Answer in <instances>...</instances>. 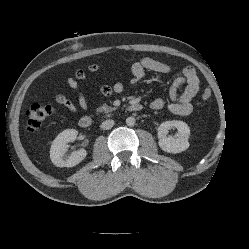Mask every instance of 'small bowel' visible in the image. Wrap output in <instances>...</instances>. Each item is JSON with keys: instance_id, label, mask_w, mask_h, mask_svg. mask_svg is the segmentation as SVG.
<instances>
[{"instance_id": "c3829d8e", "label": "small bowel", "mask_w": 249, "mask_h": 249, "mask_svg": "<svg viewBox=\"0 0 249 249\" xmlns=\"http://www.w3.org/2000/svg\"><path fill=\"white\" fill-rule=\"evenodd\" d=\"M102 69L100 63H91L88 66L90 72H99ZM132 83H136L139 80L147 76V71H153L162 74H172L174 70L166 63L154 60L152 58H143L130 67ZM89 78L83 69H77L74 73V77L67 78L68 86L76 92L77 104L68 99L65 95L52 92L55 101L65 106L72 112H77L79 108L88 109V100L85 93L82 91L79 81H88ZM199 78L196 70L191 67H185L181 74L177 75L171 83L169 88V110L180 116H188L193 111L192 99L196 96L199 90ZM185 85L184 91L179 94L178 90L181 86ZM124 90V84L120 81L115 82L112 85H101L99 91L102 95L109 97L113 94L121 93ZM165 107V101L161 98H155L150 102V108L153 110H161Z\"/></svg>"}]
</instances>
